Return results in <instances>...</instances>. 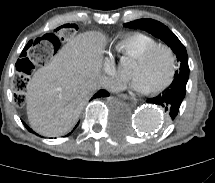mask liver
Here are the masks:
<instances>
[{
  "instance_id": "liver-1",
  "label": "liver",
  "mask_w": 215,
  "mask_h": 183,
  "mask_svg": "<svg viewBox=\"0 0 215 183\" xmlns=\"http://www.w3.org/2000/svg\"><path fill=\"white\" fill-rule=\"evenodd\" d=\"M105 37L84 32L66 43L27 84V115L32 129L48 137L68 133L98 89Z\"/></svg>"
}]
</instances>
